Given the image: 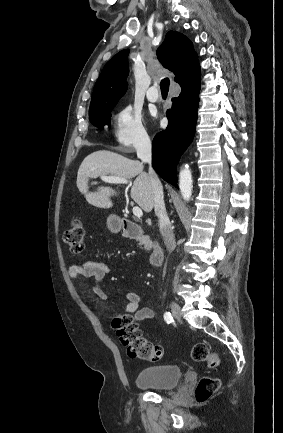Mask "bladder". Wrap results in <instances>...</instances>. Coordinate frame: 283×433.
<instances>
[{
  "label": "bladder",
  "instance_id": "obj_1",
  "mask_svg": "<svg viewBox=\"0 0 283 433\" xmlns=\"http://www.w3.org/2000/svg\"><path fill=\"white\" fill-rule=\"evenodd\" d=\"M182 376L180 365L150 366L139 371L135 380L136 386L166 390L177 385Z\"/></svg>",
  "mask_w": 283,
  "mask_h": 433
}]
</instances>
